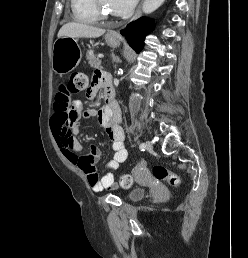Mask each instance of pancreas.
<instances>
[{
    "label": "pancreas",
    "mask_w": 248,
    "mask_h": 258,
    "mask_svg": "<svg viewBox=\"0 0 248 258\" xmlns=\"http://www.w3.org/2000/svg\"><path fill=\"white\" fill-rule=\"evenodd\" d=\"M86 57H87V60L89 62V65L91 67H95V68H100L101 67V61L96 59L93 50L87 51Z\"/></svg>",
    "instance_id": "obj_1"
}]
</instances>
